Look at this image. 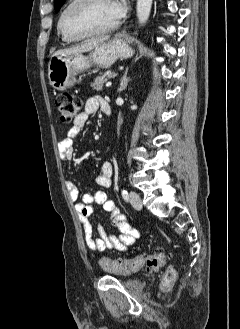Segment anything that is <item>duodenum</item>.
Returning <instances> with one entry per match:
<instances>
[{
	"label": "duodenum",
	"mask_w": 240,
	"mask_h": 329,
	"mask_svg": "<svg viewBox=\"0 0 240 329\" xmlns=\"http://www.w3.org/2000/svg\"><path fill=\"white\" fill-rule=\"evenodd\" d=\"M102 111L108 116L111 114V106L106 100L102 104Z\"/></svg>",
	"instance_id": "duodenum-1"
}]
</instances>
